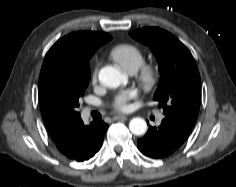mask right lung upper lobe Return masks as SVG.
Segmentation results:
<instances>
[{
  "label": "right lung upper lobe",
  "mask_w": 236,
  "mask_h": 187,
  "mask_svg": "<svg viewBox=\"0 0 236 187\" xmlns=\"http://www.w3.org/2000/svg\"><path fill=\"white\" fill-rule=\"evenodd\" d=\"M111 39L104 32L78 31L59 39L47 52L44 62L52 57L60 56L65 59H83L89 53ZM43 62V63H44ZM44 124L50 132L59 151L66 155L70 151L74 135L82 123L81 118H67L41 111Z\"/></svg>",
  "instance_id": "cb5924a9"
}]
</instances>
